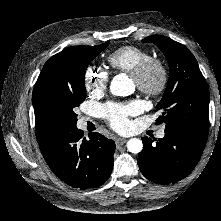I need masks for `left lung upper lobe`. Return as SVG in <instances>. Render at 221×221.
Instances as JSON below:
<instances>
[{"instance_id":"1","label":"left lung upper lobe","mask_w":221,"mask_h":221,"mask_svg":"<svg viewBox=\"0 0 221 221\" xmlns=\"http://www.w3.org/2000/svg\"><path fill=\"white\" fill-rule=\"evenodd\" d=\"M143 42L157 45L170 67L166 91L156 107L162 111L156 124L164 123L165 130L182 128L208 135L209 90L193 54L166 36H149Z\"/></svg>"}]
</instances>
